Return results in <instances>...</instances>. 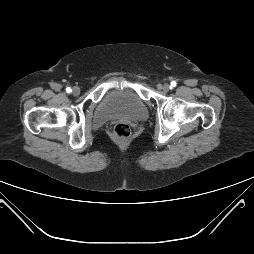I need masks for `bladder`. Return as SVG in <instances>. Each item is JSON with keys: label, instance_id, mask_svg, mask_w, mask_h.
Returning a JSON list of instances; mask_svg holds the SVG:
<instances>
[{"label": "bladder", "instance_id": "31cf9c89", "mask_svg": "<svg viewBox=\"0 0 254 254\" xmlns=\"http://www.w3.org/2000/svg\"><path fill=\"white\" fill-rule=\"evenodd\" d=\"M148 116L144 101L131 89H115L104 95L96 112V121L106 123L116 119L142 121Z\"/></svg>", "mask_w": 254, "mask_h": 254}]
</instances>
